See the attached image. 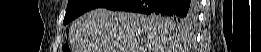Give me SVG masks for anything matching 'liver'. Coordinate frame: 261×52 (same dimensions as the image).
<instances>
[{
    "mask_svg": "<svg viewBox=\"0 0 261 52\" xmlns=\"http://www.w3.org/2000/svg\"><path fill=\"white\" fill-rule=\"evenodd\" d=\"M180 30L157 15L91 10L70 28L76 52H178Z\"/></svg>",
    "mask_w": 261,
    "mask_h": 52,
    "instance_id": "liver-1",
    "label": "liver"
}]
</instances>
